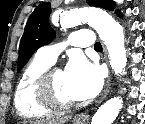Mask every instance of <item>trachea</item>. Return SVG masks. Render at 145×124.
I'll use <instances>...</instances> for the list:
<instances>
[{
	"label": "trachea",
	"mask_w": 145,
	"mask_h": 124,
	"mask_svg": "<svg viewBox=\"0 0 145 124\" xmlns=\"http://www.w3.org/2000/svg\"><path fill=\"white\" fill-rule=\"evenodd\" d=\"M94 49H102V46H101V44H100V42H97L96 44H95V46H94Z\"/></svg>",
	"instance_id": "obj_1"
}]
</instances>
